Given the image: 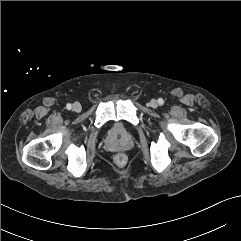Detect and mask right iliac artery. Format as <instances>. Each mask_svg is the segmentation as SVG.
Instances as JSON below:
<instances>
[{"mask_svg": "<svg viewBox=\"0 0 241 241\" xmlns=\"http://www.w3.org/2000/svg\"><path fill=\"white\" fill-rule=\"evenodd\" d=\"M66 108H67L68 110H70V109L72 108V105H71L70 103H68V104L66 105Z\"/></svg>", "mask_w": 241, "mask_h": 241, "instance_id": "right-iliac-artery-1", "label": "right iliac artery"}]
</instances>
